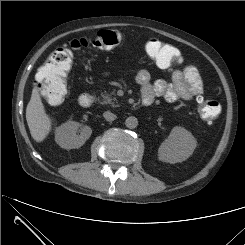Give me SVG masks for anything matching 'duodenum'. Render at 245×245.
<instances>
[{
	"instance_id": "410a0bca",
	"label": "duodenum",
	"mask_w": 245,
	"mask_h": 245,
	"mask_svg": "<svg viewBox=\"0 0 245 245\" xmlns=\"http://www.w3.org/2000/svg\"><path fill=\"white\" fill-rule=\"evenodd\" d=\"M93 96L89 93H83L80 95L79 97V104L81 107H84V108H87V107H90L93 103ZM142 105L143 106H149L150 105V101L149 100H146V99H143L142 100Z\"/></svg>"
}]
</instances>
